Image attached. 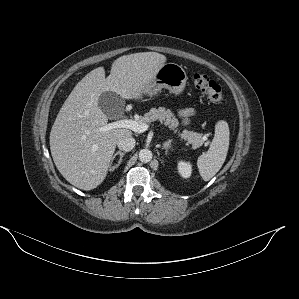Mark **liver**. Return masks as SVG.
Wrapping results in <instances>:
<instances>
[{"mask_svg": "<svg viewBox=\"0 0 299 299\" xmlns=\"http://www.w3.org/2000/svg\"><path fill=\"white\" fill-rule=\"evenodd\" d=\"M167 58L157 52H142L117 58L105 78L98 67L74 87L62 105L50 132V150L61 175L73 186L92 190L105 179L118 139L131 135L124 128L105 132L108 122L98 106L103 92L123 99L139 100L156 71Z\"/></svg>", "mask_w": 299, "mask_h": 299, "instance_id": "6515ba94", "label": "liver"}]
</instances>
